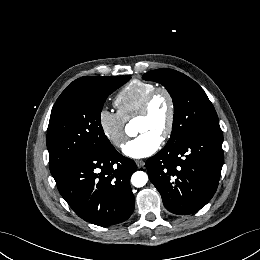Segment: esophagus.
I'll list each match as a JSON object with an SVG mask.
<instances>
[{"label": "esophagus", "mask_w": 260, "mask_h": 260, "mask_svg": "<svg viewBox=\"0 0 260 260\" xmlns=\"http://www.w3.org/2000/svg\"><path fill=\"white\" fill-rule=\"evenodd\" d=\"M135 163L138 168H142L145 165V162L143 160H136Z\"/></svg>", "instance_id": "obj_1"}]
</instances>
